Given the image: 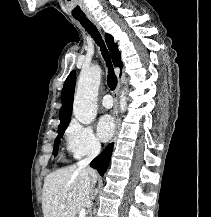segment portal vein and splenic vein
<instances>
[{
    "mask_svg": "<svg viewBox=\"0 0 211 217\" xmlns=\"http://www.w3.org/2000/svg\"><path fill=\"white\" fill-rule=\"evenodd\" d=\"M85 215H86V210L85 209H81L80 212H79V217H85Z\"/></svg>",
    "mask_w": 211,
    "mask_h": 217,
    "instance_id": "obj_1",
    "label": "portal vein and splenic vein"
}]
</instances>
